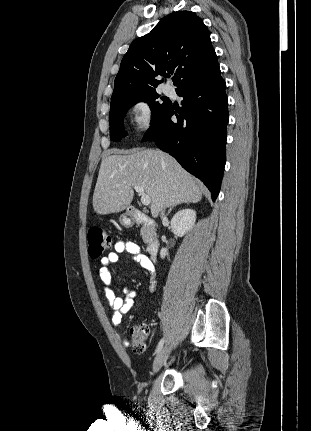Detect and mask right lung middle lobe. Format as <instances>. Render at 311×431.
<instances>
[{"label": "right lung middle lobe", "instance_id": "obj_1", "mask_svg": "<svg viewBox=\"0 0 311 431\" xmlns=\"http://www.w3.org/2000/svg\"><path fill=\"white\" fill-rule=\"evenodd\" d=\"M159 94L155 91H147L127 96H121L111 99L110 104V138L113 141L121 140L125 135L122 125L125 114L128 109L137 102L144 101L148 103L152 111V120H155L164 113L170 106L171 101H158ZM162 100L163 97L161 98Z\"/></svg>", "mask_w": 311, "mask_h": 431}]
</instances>
